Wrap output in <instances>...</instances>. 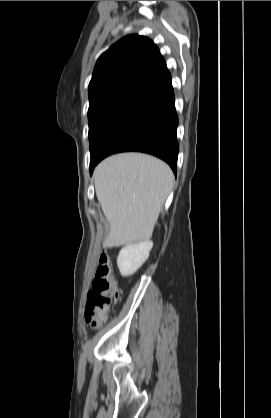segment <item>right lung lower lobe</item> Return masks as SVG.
Listing matches in <instances>:
<instances>
[{
    "label": "right lung lower lobe",
    "instance_id": "98d812e1",
    "mask_svg": "<svg viewBox=\"0 0 271 418\" xmlns=\"http://www.w3.org/2000/svg\"><path fill=\"white\" fill-rule=\"evenodd\" d=\"M177 125L174 93L171 92L121 128L90 164V173L103 158L125 151L157 156L166 161L176 173L179 147L176 139Z\"/></svg>",
    "mask_w": 271,
    "mask_h": 418
}]
</instances>
